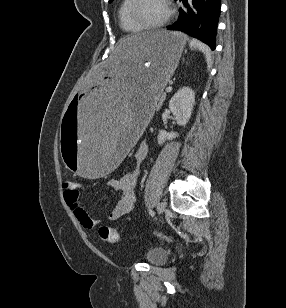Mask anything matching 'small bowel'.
<instances>
[{"mask_svg": "<svg viewBox=\"0 0 286 308\" xmlns=\"http://www.w3.org/2000/svg\"><path fill=\"white\" fill-rule=\"evenodd\" d=\"M148 154V145L145 142L139 144L135 151L137 166L130 172L123 174L118 179H111L109 185L121 191L122 195L114 209L109 214V220L115 221L130 213L135 203V187L139 176V164L142 163ZM79 191H64V200L72 210L80 225L86 230H92L98 225V221L90 217L79 200Z\"/></svg>", "mask_w": 286, "mask_h": 308, "instance_id": "obj_1", "label": "small bowel"}]
</instances>
